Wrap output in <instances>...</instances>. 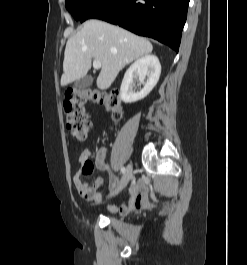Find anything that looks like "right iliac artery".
Segmentation results:
<instances>
[{"label": "right iliac artery", "instance_id": "82829eb1", "mask_svg": "<svg viewBox=\"0 0 247 265\" xmlns=\"http://www.w3.org/2000/svg\"><path fill=\"white\" fill-rule=\"evenodd\" d=\"M121 172H122L123 174H125V172H126V168H125V167H122V168H121Z\"/></svg>", "mask_w": 247, "mask_h": 265}]
</instances>
